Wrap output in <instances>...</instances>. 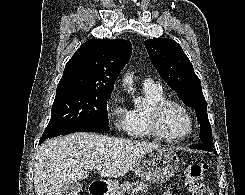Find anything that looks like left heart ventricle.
<instances>
[{
	"mask_svg": "<svg viewBox=\"0 0 245 195\" xmlns=\"http://www.w3.org/2000/svg\"><path fill=\"white\" fill-rule=\"evenodd\" d=\"M161 128L170 137L183 136L189 128L188 117L181 108L169 106L162 114Z\"/></svg>",
	"mask_w": 245,
	"mask_h": 195,
	"instance_id": "b2bd125f",
	"label": "left heart ventricle"
}]
</instances>
